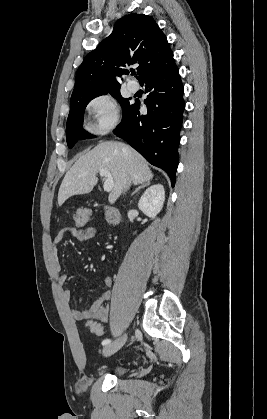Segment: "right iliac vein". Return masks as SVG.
I'll return each instance as SVG.
<instances>
[{
    "instance_id": "1",
    "label": "right iliac vein",
    "mask_w": 267,
    "mask_h": 419,
    "mask_svg": "<svg viewBox=\"0 0 267 419\" xmlns=\"http://www.w3.org/2000/svg\"><path fill=\"white\" fill-rule=\"evenodd\" d=\"M126 341H127V334H124L123 336H121L119 339H117L113 343H110V344L106 345L103 348V355L104 356H111L112 354L117 352L125 344Z\"/></svg>"
}]
</instances>
